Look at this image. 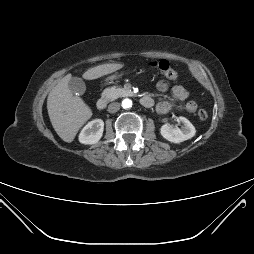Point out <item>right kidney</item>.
<instances>
[{"label":"right kidney","instance_id":"ca27d5eb","mask_svg":"<svg viewBox=\"0 0 254 254\" xmlns=\"http://www.w3.org/2000/svg\"><path fill=\"white\" fill-rule=\"evenodd\" d=\"M104 130V122L101 119H94L88 122L79 134V142L82 144H95L97 143Z\"/></svg>","mask_w":254,"mask_h":254}]
</instances>
